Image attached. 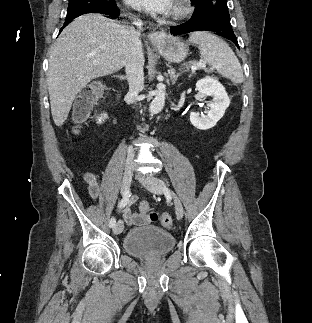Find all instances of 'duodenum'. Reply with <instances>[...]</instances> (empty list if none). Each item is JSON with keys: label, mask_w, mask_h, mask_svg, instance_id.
Returning a JSON list of instances; mask_svg holds the SVG:
<instances>
[{"label": "duodenum", "mask_w": 312, "mask_h": 323, "mask_svg": "<svg viewBox=\"0 0 312 323\" xmlns=\"http://www.w3.org/2000/svg\"><path fill=\"white\" fill-rule=\"evenodd\" d=\"M122 91H118L117 93V108L121 109L122 108Z\"/></svg>", "instance_id": "410a0bca"}]
</instances>
